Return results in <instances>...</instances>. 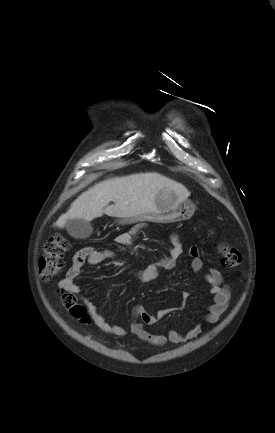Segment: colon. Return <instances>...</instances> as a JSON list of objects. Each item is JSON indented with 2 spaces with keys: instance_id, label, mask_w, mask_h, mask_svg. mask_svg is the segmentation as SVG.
<instances>
[{
  "instance_id": "colon-1",
  "label": "colon",
  "mask_w": 275,
  "mask_h": 433,
  "mask_svg": "<svg viewBox=\"0 0 275 433\" xmlns=\"http://www.w3.org/2000/svg\"><path fill=\"white\" fill-rule=\"evenodd\" d=\"M68 249V241L61 233H54L44 245V255L40 259V275L44 278L58 274L64 266V255ZM221 262L226 267H237L242 262L239 250L221 242L218 245ZM61 302L65 310L83 324L89 323V316L84 306L77 302L76 297L67 291H62Z\"/></svg>"
}]
</instances>
